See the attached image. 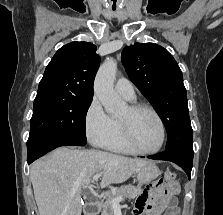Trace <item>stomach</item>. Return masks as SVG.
Returning a JSON list of instances; mask_svg holds the SVG:
<instances>
[{"instance_id":"stomach-1","label":"stomach","mask_w":223,"mask_h":215,"mask_svg":"<svg viewBox=\"0 0 223 215\" xmlns=\"http://www.w3.org/2000/svg\"><path fill=\"white\" fill-rule=\"evenodd\" d=\"M135 173L139 182L143 180L145 183H150V181H153V179H156L160 175V169H158L155 163L149 161L147 165H142V167L136 169Z\"/></svg>"}]
</instances>
